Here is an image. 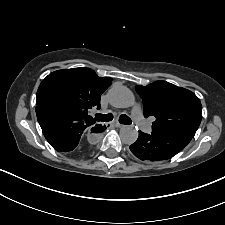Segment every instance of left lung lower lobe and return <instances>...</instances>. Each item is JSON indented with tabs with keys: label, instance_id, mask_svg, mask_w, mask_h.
<instances>
[{
	"label": "left lung lower lobe",
	"instance_id": "0a47b994",
	"mask_svg": "<svg viewBox=\"0 0 225 225\" xmlns=\"http://www.w3.org/2000/svg\"><path fill=\"white\" fill-rule=\"evenodd\" d=\"M193 137L187 135H154L139 132L131 152L145 162L167 160L179 153Z\"/></svg>",
	"mask_w": 225,
	"mask_h": 225
}]
</instances>
